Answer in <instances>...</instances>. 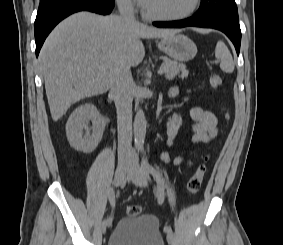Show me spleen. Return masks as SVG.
<instances>
[{
	"mask_svg": "<svg viewBox=\"0 0 283 245\" xmlns=\"http://www.w3.org/2000/svg\"><path fill=\"white\" fill-rule=\"evenodd\" d=\"M215 56L220 61V68L222 71L225 73H232L234 71L232 55L222 41H219L216 45Z\"/></svg>",
	"mask_w": 283,
	"mask_h": 245,
	"instance_id": "spleen-1",
	"label": "spleen"
}]
</instances>
